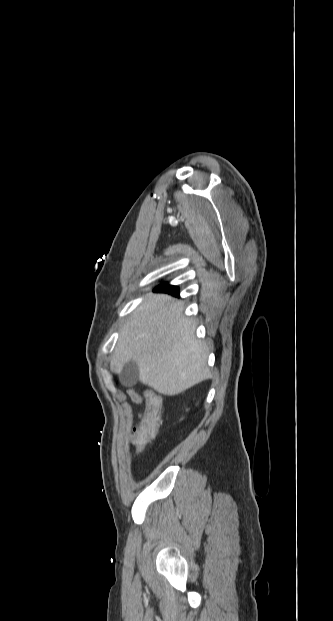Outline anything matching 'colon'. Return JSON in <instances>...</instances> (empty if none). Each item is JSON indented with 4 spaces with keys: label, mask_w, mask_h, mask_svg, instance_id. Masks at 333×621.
I'll return each mask as SVG.
<instances>
[{
    "label": "colon",
    "mask_w": 333,
    "mask_h": 621,
    "mask_svg": "<svg viewBox=\"0 0 333 621\" xmlns=\"http://www.w3.org/2000/svg\"><path fill=\"white\" fill-rule=\"evenodd\" d=\"M161 409V396L150 391L143 419L137 429L136 448L139 453H143L156 436L161 423Z\"/></svg>",
    "instance_id": "obj_1"
}]
</instances>
